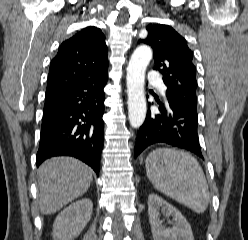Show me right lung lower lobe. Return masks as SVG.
I'll return each instance as SVG.
<instances>
[{
  "label": "right lung lower lobe",
  "instance_id": "obj_1",
  "mask_svg": "<svg viewBox=\"0 0 248 240\" xmlns=\"http://www.w3.org/2000/svg\"><path fill=\"white\" fill-rule=\"evenodd\" d=\"M107 76L46 93L36 164L53 156L76 157L99 175Z\"/></svg>",
  "mask_w": 248,
  "mask_h": 240
}]
</instances>
